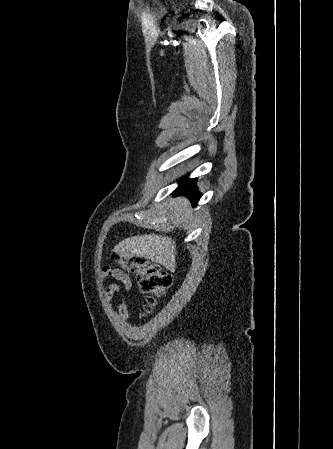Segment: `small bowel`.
Masks as SVG:
<instances>
[{
  "instance_id": "1",
  "label": "small bowel",
  "mask_w": 333,
  "mask_h": 449,
  "mask_svg": "<svg viewBox=\"0 0 333 449\" xmlns=\"http://www.w3.org/2000/svg\"><path fill=\"white\" fill-rule=\"evenodd\" d=\"M107 277H112L121 283V285L116 283L110 284L105 289L104 296L107 302H112L116 293L128 292L130 290L132 284L131 278L123 270L107 265L103 268L100 275V280L105 281ZM117 314L121 321H126L128 319V308L124 299H122L121 303L117 307Z\"/></svg>"
}]
</instances>
